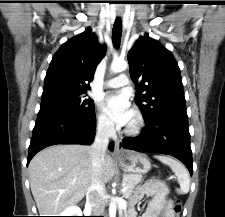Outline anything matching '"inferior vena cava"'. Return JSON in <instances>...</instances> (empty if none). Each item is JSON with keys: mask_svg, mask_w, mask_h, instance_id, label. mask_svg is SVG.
<instances>
[{"mask_svg": "<svg viewBox=\"0 0 225 217\" xmlns=\"http://www.w3.org/2000/svg\"><path fill=\"white\" fill-rule=\"evenodd\" d=\"M115 134L114 124L108 120L102 122L96 132L94 142L91 146L92 181L87 190V200L93 207L95 216L104 213L105 185L100 181L103 171L104 157L109 145V138Z\"/></svg>", "mask_w": 225, "mask_h": 217, "instance_id": "1", "label": "inferior vena cava"}]
</instances>
